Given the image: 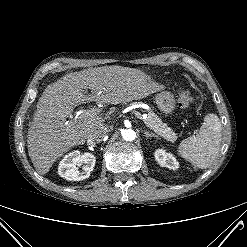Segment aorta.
Returning <instances> with one entry per match:
<instances>
[{
	"label": "aorta",
	"mask_w": 247,
	"mask_h": 247,
	"mask_svg": "<svg viewBox=\"0 0 247 247\" xmlns=\"http://www.w3.org/2000/svg\"><path fill=\"white\" fill-rule=\"evenodd\" d=\"M122 137L125 141H133L136 138V132L133 129H125L122 131Z\"/></svg>",
	"instance_id": "aorta-1"
}]
</instances>
